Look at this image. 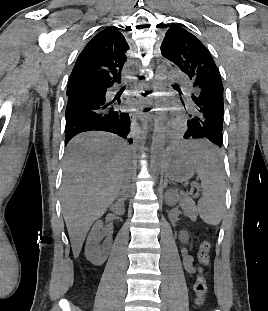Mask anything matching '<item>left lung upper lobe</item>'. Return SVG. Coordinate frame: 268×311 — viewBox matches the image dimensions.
Returning <instances> with one entry per match:
<instances>
[{
    "instance_id": "1",
    "label": "left lung upper lobe",
    "mask_w": 268,
    "mask_h": 311,
    "mask_svg": "<svg viewBox=\"0 0 268 311\" xmlns=\"http://www.w3.org/2000/svg\"><path fill=\"white\" fill-rule=\"evenodd\" d=\"M161 52L174 67L189 77L194 91L210 86L223 90L220 72L210 52L184 28L172 26L168 29L161 44Z\"/></svg>"
}]
</instances>
